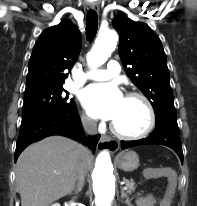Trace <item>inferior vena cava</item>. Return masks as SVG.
Listing matches in <instances>:
<instances>
[{"label":"inferior vena cava","instance_id":"obj_1","mask_svg":"<svg viewBox=\"0 0 197 206\" xmlns=\"http://www.w3.org/2000/svg\"><path fill=\"white\" fill-rule=\"evenodd\" d=\"M82 126L85 133L88 135H95L97 133V124L92 119L86 117L82 118ZM84 150L88 151L86 148H84ZM86 171H87L86 163L85 161H82L77 172L78 188H80V190L84 185Z\"/></svg>","mask_w":197,"mask_h":206}]
</instances>
